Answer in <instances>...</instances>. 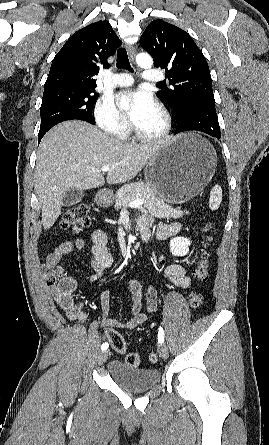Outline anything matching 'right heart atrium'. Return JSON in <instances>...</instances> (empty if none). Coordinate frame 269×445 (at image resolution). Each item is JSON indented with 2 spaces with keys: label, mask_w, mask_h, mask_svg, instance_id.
<instances>
[{
  "label": "right heart atrium",
  "mask_w": 269,
  "mask_h": 445,
  "mask_svg": "<svg viewBox=\"0 0 269 445\" xmlns=\"http://www.w3.org/2000/svg\"><path fill=\"white\" fill-rule=\"evenodd\" d=\"M94 119L96 124L104 132L124 137L129 131V122L117 108L111 97H102L94 107Z\"/></svg>",
  "instance_id": "d8ad5b80"
}]
</instances>
